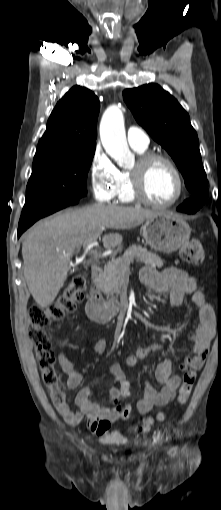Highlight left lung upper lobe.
Listing matches in <instances>:
<instances>
[{"instance_id":"5c2ea615","label":"left lung upper lobe","mask_w":221,"mask_h":510,"mask_svg":"<svg viewBox=\"0 0 221 510\" xmlns=\"http://www.w3.org/2000/svg\"><path fill=\"white\" fill-rule=\"evenodd\" d=\"M123 96L137 122L173 158L187 189L192 193L187 200L201 207L208 197V181L201 161L198 137L188 113L157 84L126 89Z\"/></svg>"}]
</instances>
